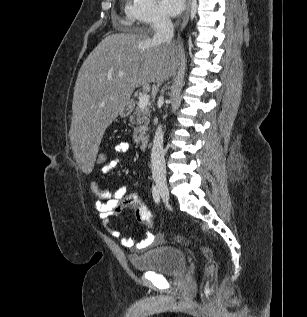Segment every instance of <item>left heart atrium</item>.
I'll list each match as a JSON object with an SVG mask.
<instances>
[{
    "instance_id": "1",
    "label": "left heart atrium",
    "mask_w": 307,
    "mask_h": 317,
    "mask_svg": "<svg viewBox=\"0 0 307 317\" xmlns=\"http://www.w3.org/2000/svg\"><path fill=\"white\" fill-rule=\"evenodd\" d=\"M185 0H160L162 11L169 16H176L181 13Z\"/></svg>"
}]
</instances>
